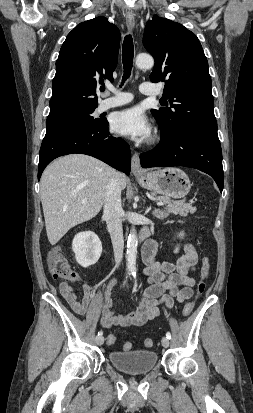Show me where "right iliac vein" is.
<instances>
[{
    "mask_svg": "<svg viewBox=\"0 0 253 413\" xmlns=\"http://www.w3.org/2000/svg\"><path fill=\"white\" fill-rule=\"evenodd\" d=\"M95 341H96V344L97 345H102L103 343H104V337L101 335V336H97L96 337V339H95Z\"/></svg>",
    "mask_w": 253,
    "mask_h": 413,
    "instance_id": "63e3f726",
    "label": "right iliac vein"
}]
</instances>
